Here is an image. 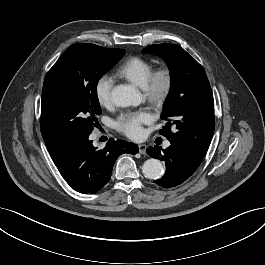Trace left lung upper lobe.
I'll list each match as a JSON object with an SVG mask.
<instances>
[{
  "instance_id": "1",
  "label": "left lung upper lobe",
  "mask_w": 265,
  "mask_h": 265,
  "mask_svg": "<svg viewBox=\"0 0 265 265\" xmlns=\"http://www.w3.org/2000/svg\"><path fill=\"white\" fill-rule=\"evenodd\" d=\"M143 52L162 57L171 75V89L161 113L167 119L160 133L201 163L215 128L214 101L202 66L176 44L150 45Z\"/></svg>"
}]
</instances>
